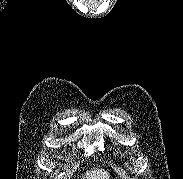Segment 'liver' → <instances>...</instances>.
Masks as SVG:
<instances>
[{
    "label": "liver",
    "mask_w": 183,
    "mask_h": 179,
    "mask_svg": "<svg viewBox=\"0 0 183 179\" xmlns=\"http://www.w3.org/2000/svg\"><path fill=\"white\" fill-rule=\"evenodd\" d=\"M83 179H110V173L105 169L93 168L90 171H86Z\"/></svg>",
    "instance_id": "1"
}]
</instances>
